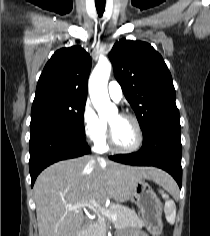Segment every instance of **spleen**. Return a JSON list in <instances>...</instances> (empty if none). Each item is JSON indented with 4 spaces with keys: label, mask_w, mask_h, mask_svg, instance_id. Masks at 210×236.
<instances>
[{
    "label": "spleen",
    "mask_w": 210,
    "mask_h": 236,
    "mask_svg": "<svg viewBox=\"0 0 210 236\" xmlns=\"http://www.w3.org/2000/svg\"><path fill=\"white\" fill-rule=\"evenodd\" d=\"M166 190L173 192L175 189L174 182H163L161 184ZM162 197L165 199V215L166 219L169 223L173 224L175 222V217H176V206L173 200L169 199V196L165 194L163 191Z\"/></svg>",
    "instance_id": "spleen-1"
}]
</instances>
